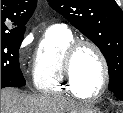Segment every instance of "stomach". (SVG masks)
I'll use <instances>...</instances> for the list:
<instances>
[{"label":"stomach","instance_id":"obj_1","mask_svg":"<svg viewBox=\"0 0 123 113\" xmlns=\"http://www.w3.org/2000/svg\"><path fill=\"white\" fill-rule=\"evenodd\" d=\"M74 113H100V112L95 108H86V109L78 110Z\"/></svg>","mask_w":123,"mask_h":113}]
</instances>
